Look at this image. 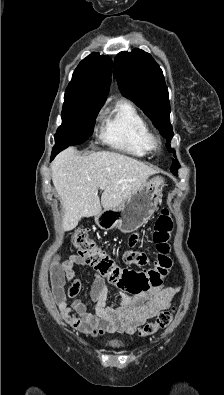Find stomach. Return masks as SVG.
Masks as SVG:
<instances>
[{
	"mask_svg": "<svg viewBox=\"0 0 224 395\" xmlns=\"http://www.w3.org/2000/svg\"><path fill=\"white\" fill-rule=\"evenodd\" d=\"M165 185L164 178L159 175L147 179L120 205L103 209L95 215V223L104 230H111L115 227L123 233L137 230L156 212Z\"/></svg>",
	"mask_w": 224,
	"mask_h": 395,
	"instance_id": "0dacf381",
	"label": "stomach"
}]
</instances>
